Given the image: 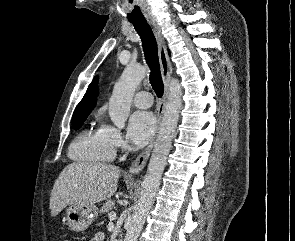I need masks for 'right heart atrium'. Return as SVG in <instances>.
<instances>
[{
	"label": "right heart atrium",
	"instance_id": "obj_1",
	"mask_svg": "<svg viewBox=\"0 0 295 241\" xmlns=\"http://www.w3.org/2000/svg\"><path fill=\"white\" fill-rule=\"evenodd\" d=\"M105 128L108 132L109 139L114 150L123 147L124 141L120 130L111 125H105Z\"/></svg>",
	"mask_w": 295,
	"mask_h": 241
}]
</instances>
